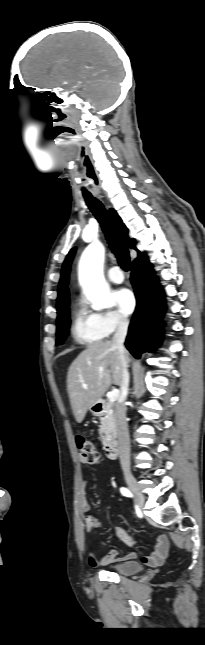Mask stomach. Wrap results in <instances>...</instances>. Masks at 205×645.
<instances>
[{
	"instance_id": "obj_1",
	"label": "stomach",
	"mask_w": 205,
	"mask_h": 645,
	"mask_svg": "<svg viewBox=\"0 0 205 645\" xmlns=\"http://www.w3.org/2000/svg\"><path fill=\"white\" fill-rule=\"evenodd\" d=\"M89 410L94 414V415H99L100 411L98 410V402L92 405Z\"/></svg>"
}]
</instances>
